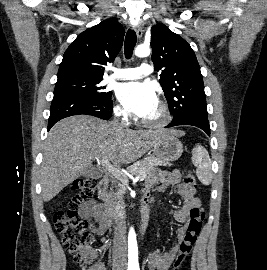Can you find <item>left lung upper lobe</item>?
Returning a JSON list of instances; mask_svg holds the SVG:
<instances>
[{"mask_svg": "<svg viewBox=\"0 0 267 270\" xmlns=\"http://www.w3.org/2000/svg\"><path fill=\"white\" fill-rule=\"evenodd\" d=\"M152 61L173 119L188 115L208 117L204 83L193 49L166 25L151 28Z\"/></svg>", "mask_w": 267, "mask_h": 270, "instance_id": "1", "label": "left lung upper lobe"}]
</instances>
